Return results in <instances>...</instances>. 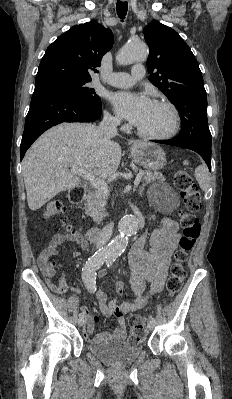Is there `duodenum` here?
<instances>
[{"mask_svg": "<svg viewBox=\"0 0 232 399\" xmlns=\"http://www.w3.org/2000/svg\"><path fill=\"white\" fill-rule=\"evenodd\" d=\"M86 189L84 187H77L70 193L69 199L73 204L81 203L86 196ZM101 238V230L98 228H91L86 233V240L91 243H97Z\"/></svg>", "mask_w": 232, "mask_h": 399, "instance_id": "duodenum-1", "label": "duodenum"}]
</instances>
